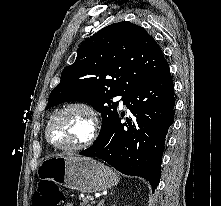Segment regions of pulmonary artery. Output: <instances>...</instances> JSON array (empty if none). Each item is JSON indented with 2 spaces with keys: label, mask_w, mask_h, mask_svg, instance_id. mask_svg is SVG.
Masks as SVG:
<instances>
[{
  "label": "pulmonary artery",
  "mask_w": 221,
  "mask_h": 206,
  "mask_svg": "<svg viewBox=\"0 0 221 206\" xmlns=\"http://www.w3.org/2000/svg\"><path fill=\"white\" fill-rule=\"evenodd\" d=\"M121 99H122V97H121V96H118V97H117V100H120V101H121L120 103L122 104L123 102H122V100H121Z\"/></svg>",
  "instance_id": "pulmonary-artery-1"
}]
</instances>
